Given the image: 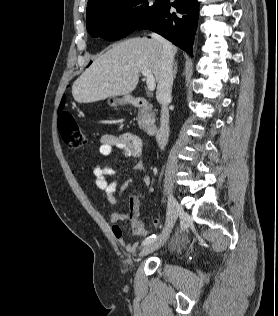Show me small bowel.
Returning <instances> with one entry per match:
<instances>
[{
  "instance_id": "obj_1",
  "label": "small bowel",
  "mask_w": 278,
  "mask_h": 316,
  "mask_svg": "<svg viewBox=\"0 0 278 316\" xmlns=\"http://www.w3.org/2000/svg\"><path fill=\"white\" fill-rule=\"evenodd\" d=\"M144 142L143 140L134 134L125 133L121 135L105 134L100 138L99 153L102 156H109L114 151H118L127 158H134L138 161L133 167L136 172H143L141 176L142 182L145 186L149 187L151 184L150 176L147 174V168L145 164L139 160L142 154ZM93 172L96 178L97 187L104 193L108 202L112 206L118 205V200L115 196L118 188L128 184L131 179H127L122 184L119 183L118 179L110 180L115 176V171L112 166L108 163L104 165H94ZM125 220H129L132 227V232L136 236L145 237L149 234V229L140 220V200L137 197H132L129 201V212H112L110 214V222L112 224L111 231L120 246H123L126 251L132 253L137 249V244L127 243L124 238V233L119 223ZM158 220H152L153 225L158 224Z\"/></svg>"
}]
</instances>
